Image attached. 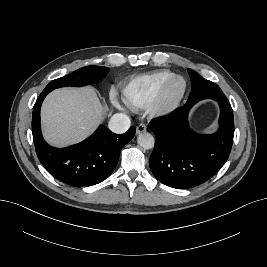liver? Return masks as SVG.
<instances>
[{
  "label": "liver",
  "instance_id": "1",
  "mask_svg": "<svg viewBox=\"0 0 267 267\" xmlns=\"http://www.w3.org/2000/svg\"><path fill=\"white\" fill-rule=\"evenodd\" d=\"M104 112L92 87L56 89L41 108L44 137L57 147L78 143L93 133Z\"/></svg>",
  "mask_w": 267,
  "mask_h": 267
}]
</instances>
